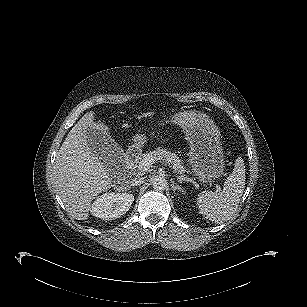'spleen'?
Wrapping results in <instances>:
<instances>
[{
	"label": "spleen",
	"mask_w": 307,
	"mask_h": 307,
	"mask_svg": "<svg viewBox=\"0 0 307 307\" xmlns=\"http://www.w3.org/2000/svg\"><path fill=\"white\" fill-rule=\"evenodd\" d=\"M245 188V165L241 157L235 161L233 172L224 182L222 191H203L197 198L199 213L214 223L229 220L237 211Z\"/></svg>",
	"instance_id": "spleen-1"
}]
</instances>
